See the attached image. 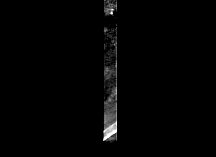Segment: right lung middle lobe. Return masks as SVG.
Segmentation results:
<instances>
[{
    "label": "right lung middle lobe",
    "mask_w": 216,
    "mask_h": 157,
    "mask_svg": "<svg viewBox=\"0 0 216 157\" xmlns=\"http://www.w3.org/2000/svg\"><path fill=\"white\" fill-rule=\"evenodd\" d=\"M129 111V106L126 105V103L120 108V110L118 111V119H117V126H119L122 121L124 120V118L126 117L127 113ZM103 130L100 131V133L98 134V136H96V140H95V146L102 143L103 142Z\"/></svg>",
    "instance_id": "dd1d6c3e"
}]
</instances>
